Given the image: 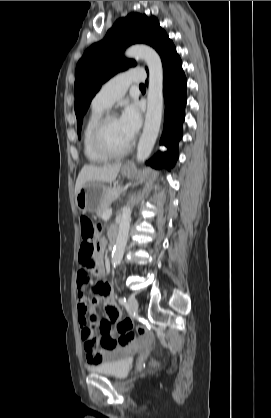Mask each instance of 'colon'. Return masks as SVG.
Listing matches in <instances>:
<instances>
[{
    "mask_svg": "<svg viewBox=\"0 0 271 418\" xmlns=\"http://www.w3.org/2000/svg\"><path fill=\"white\" fill-rule=\"evenodd\" d=\"M80 228H81V234L83 243H86L87 241H94L95 242V249L98 244V237H99V228L94 225L92 220L86 216H82L80 218ZM95 261V260H91ZM132 328V322L129 319H125L121 321L117 329L121 333V336L119 338V341L123 344H127L131 341V339L134 337V334L131 332ZM138 333L140 335H145L146 330L144 328H139Z\"/></svg>",
    "mask_w": 271,
    "mask_h": 418,
    "instance_id": "obj_1",
    "label": "colon"
}]
</instances>
